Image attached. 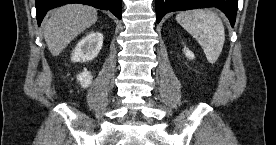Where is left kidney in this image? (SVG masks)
Wrapping results in <instances>:
<instances>
[{"mask_svg": "<svg viewBox=\"0 0 276 145\" xmlns=\"http://www.w3.org/2000/svg\"><path fill=\"white\" fill-rule=\"evenodd\" d=\"M184 54L189 59H194V54L186 47L184 48Z\"/></svg>", "mask_w": 276, "mask_h": 145, "instance_id": "obj_1", "label": "left kidney"}]
</instances>
